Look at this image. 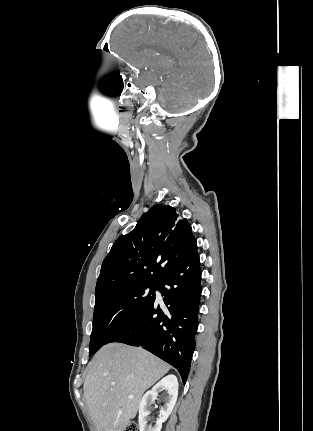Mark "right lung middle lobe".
<instances>
[{
	"label": "right lung middle lobe",
	"mask_w": 313,
	"mask_h": 431,
	"mask_svg": "<svg viewBox=\"0 0 313 431\" xmlns=\"http://www.w3.org/2000/svg\"><path fill=\"white\" fill-rule=\"evenodd\" d=\"M156 284L125 288L95 301L89 356L124 328L152 298Z\"/></svg>",
	"instance_id": "1"
}]
</instances>
